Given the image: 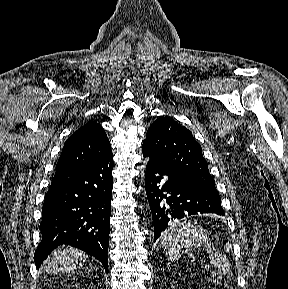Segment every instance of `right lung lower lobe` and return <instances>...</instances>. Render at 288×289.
<instances>
[{
    "mask_svg": "<svg viewBox=\"0 0 288 289\" xmlns=\"http://www.w3.org/2000/svg\"><path fill=\"white\" fill-rule=\"evenodd\" d=\"M112 155L75 169L56 171L42 207V240L34 254L39 268L62 244L94 256L108 269Z\"/></svg>",
    "mask_w": 288,
    "mask_h": 289,
    "instance_id": "right-lung-lower-lobe-1",
    "label": "right lung lower lobe"
}]
</instances>
